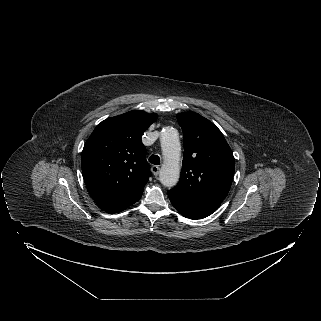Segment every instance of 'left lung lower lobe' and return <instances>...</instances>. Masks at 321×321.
Wrapping results in <instances>:
<instances>
[{
    "instance_id": "1",
    "label": "left lung lower lobe",
    "mask_w": 321,
    "mask_h": 321,
    "mask_svg": "<svg viewBox=\"0 0 321 321\" xmlns=\"http://www.w3.org/2000/svg\"><path fill=\"white\" fill-rule=\"evenodd\" d=\"M168 197L180 214L194 220L209 216L221 204L219 202L192 198L175 190L168 191Z\"/></svg>"
}]
</instances>
